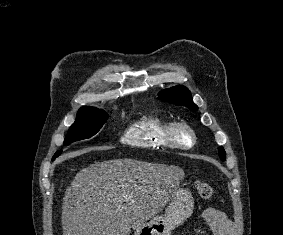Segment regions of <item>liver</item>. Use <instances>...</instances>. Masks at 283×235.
<instances>
[{
	"label": "liver",
	"mask_w": 283,
	"mask_h": 235,
	"mask_svg": "<svg viewBox=\"0 0 283 235\" xmlns=\"http://www.w3.org/2000/svg\"><path fill=\"white\" fill-rule=\"evenodd\" d=\"M183 177L179 166L130 158L91 164L65 192L63 235H129L163 209Z\"/></svg>",
	"instance_id": "liver-1"
}]
</instances>
